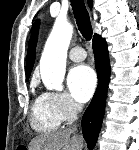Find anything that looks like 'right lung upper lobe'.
Returning a JSON list of instances; mask_svg holds the SVG:
<instances>
[{"label":"right lung upper lobe","mask_w":139,"mask_h":150,"mask_svg":"<svg viewBox=\"0 0 139 150\" xmlns=\"http://www.w3.org/2000/svg\"><path fill=\"white\" fill-rule=\"evenodd\" d=\"M93 0H88V4L90 7H92ZM37 34L38 30L37 28L34 30V33L31 37L30 44L28 47L27 52V60H26V79L30 77L34 61H35V55H36V45H37Z\"/></svg>","instance_id":"obj_1"}]
</instances>
